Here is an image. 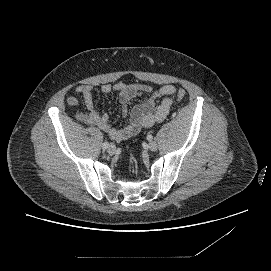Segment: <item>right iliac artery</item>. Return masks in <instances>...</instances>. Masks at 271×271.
Here are the masks:
<instances>
[{
	"label": "right iliac artery",
	"mask_w": 271,
	"mask_h": 271,
	"mask_svg": "<svg viewBox=\"0 0 271 271\" xmlns=\"http://www.w3.org/2000/svg\"><path fill=\"white\" fill-rule=\"evenodd\" d=\"M108 146H109V143H108V142H104V143L102 144V148H103V149H106Z\"/></svg>",
	"instance_id": "82829eb1"
}]
</instances>
